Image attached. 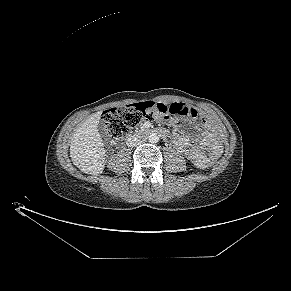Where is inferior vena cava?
I'll use <instances>...</instances> for the list:
<instances>
[{
    "instance_id": "602c4592",
    "label": "inferior vena cava",
    "mask_w": 291,
    "mask_h": 291,
    "mask_svg": "<svg viewBox=\"0 0 291 291\" xmlns=\"http://www.w3.org/2000/svg\"><path fill=\"white\" fill-rule=\"evenodd\" d=\"M141 143H142L141 138L138 136H135V135L130 136L126 141V144L129 147H136V146L140 145Z\"/></svg>"
}]
</instances>
